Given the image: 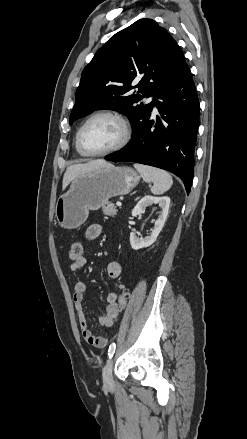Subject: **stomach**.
Returning a JSON list of instances; mask_svg holds the SVG:
<instances>
[{
  "instance_id": "stomach-1",
  "label": "stomach",
  "mask_w": 247,
  "mask_h": 439,
  "mask_svg": "<svg viewBox=\"0 0 247 439\" xmlns=\"http://www.w3.org/2000/svg\"><path fill=\"white\" fill-rule=\"evenodd\" d=\"M140 181L138 173L127 166H106L72 180L69 190L55 207L58 223L75 229L85 222L89 210H98L112 197L129 193Z\"/></svg>"
}]
</instances>
